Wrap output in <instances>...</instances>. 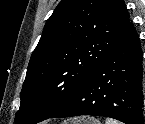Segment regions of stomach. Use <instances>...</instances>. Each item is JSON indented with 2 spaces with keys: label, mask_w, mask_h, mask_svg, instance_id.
Here are the masks:
<instances>
[{
  "label": "stomach",
  "mask_w": 145,
  "mask_h": 124,
  "mask_svg": "<svg viewBox=\"0 0 145 124\" xmlns=\"http://www.w3.org/2000/svg\"><path fill=\"white\" fill-rule=\"evenodd\" d=\"M71 124H100V122L94 118H78L75 120H71Z\"/></svg>",
  "instance_id": "stomach-1"
}]
</instances>
